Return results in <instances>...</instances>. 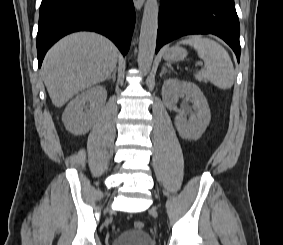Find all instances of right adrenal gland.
Here are the masks:
<instances>
[{
    "instance_id": "2a0ac1e0",
    "label": "right adrenal gland",
    "mask_w": 283,
    "mask_h": 245,
    "mask_svg": "<svg viewBox=\"0 0 283 245\" xmlns=\"http://www.w3.org/2000/svg\"><path fill=\"white\" fill-rule=\"evenodd\" d=\"M116 71H117V69L115 68V69L113 70V72H112V75H110V76L107 78V80L112 79V80L115 82V81H116Z\"/></svg>"
}]
</instances>
